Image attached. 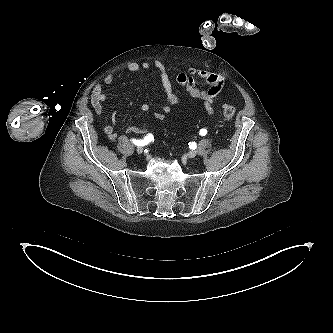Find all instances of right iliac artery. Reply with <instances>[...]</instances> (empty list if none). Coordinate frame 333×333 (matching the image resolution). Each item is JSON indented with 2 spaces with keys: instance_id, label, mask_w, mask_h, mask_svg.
I'll list each match as a JSON object with an SVG mask.
<instances>
[{
  "instance_id": "right-iliac-artery-1",
  "label": "right iliac artery",
  "mask_w": 333,
  "mask_h": 333,
  "mask_svg": "<svg viewBox=\"0 0 333 333\" xmlns=\"http://www.w3.org/2000/svg\"><path fill=\"white\" fill-rule=\"evenodd\" d=\"M154 139L152 134H148L143 140L140 139H132V143L136 146H144L151 142Z\"/></svg>"
}]
</instances>
